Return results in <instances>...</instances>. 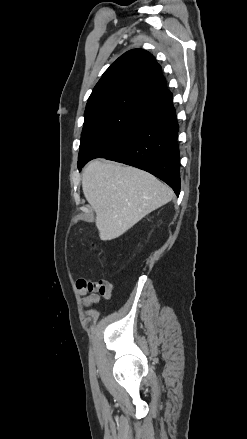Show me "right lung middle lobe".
Segmentation results:
<instances>
[{
    "mask_svg": "<svg viewBox=\"0 0 247 439\" xmlns=\"http://www.w3.org/2000/svg\"><path fill=\"white\" fill-rule=\"evenodd\" d=\"M153 112L129 102H107L85 110L78 156L79 170L101 157L143 125Z\"/></svg>",
    "mask_w": 247,
    "mask_h": 439,
    "instance_id": "1",
    "label": "right lung middle lobe"
}]
</instances>
